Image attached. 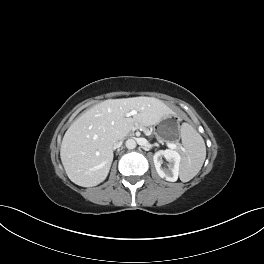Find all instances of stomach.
I'll return each mask as SVG.
<instances>
[{
  "label": "stomach",
  "instance_id": "0dacf381",
  "mask_svg": "<svg viewBox=\"0 0 264 264\" xmlns=\"http://www.w3.org/2000/svg\"><path fill=\"white\" fill-rule=\"evenodd\" d=\"M180 118L178 116H172L164 118L163 121L158 124L155 129V135L158 139H161L164 143H170L178 139V124Z\"/></svg>",
  "mask_w": 264,
  "mask_h": 264
}]
</instances>
